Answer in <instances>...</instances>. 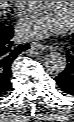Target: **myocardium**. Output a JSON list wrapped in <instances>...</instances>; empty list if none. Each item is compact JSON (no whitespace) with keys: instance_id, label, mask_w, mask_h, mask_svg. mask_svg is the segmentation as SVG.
<instances>
[{"instance_id":"1","label":"myocardium","mask_w":74,"mask_h":122,"mask_svg":"<svg viewBox=\"0 0 74 122\" xmlns=\"http://www.w3.org/2000/svg\"><path fill=\"white\" fill-rule=\"evenodd\" d=\"M72 7H73V10H72V16H71V22L74 21V1H72Z\"/></svg>"}]
</instances>
